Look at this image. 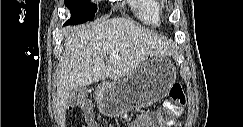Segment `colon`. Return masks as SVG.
I'll return each mask as SVG.
<instances>
[{"mask_svg":"<svg viewBox=\"0 0 243 127\" xmlns=\"http://www.w3.org/2000/svg\"><path fill=\"white\" fill-rule=\"evenodd\" d=\"M185 95L180 84H173L169 90V96L164 101L162 107L155 115L144 118L136 127H173L176 125V118L181 114L185 104ZM69 109L75 113L76 120L88 127L98 126L91 119L90 105L85 98L79 97L74 100Z\"/></svg>","mask_w":243,"mask_h":127,"instance_id":"1","label":"colon"}]
</instances>
